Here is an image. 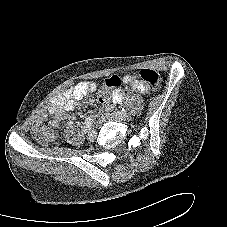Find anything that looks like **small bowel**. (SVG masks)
I'll return each instance as SVG.
<instances>
[{"instance_id": "obj_1", "label": "small bowel", "mask_w": 227, "mask_h": 227, "mask_svg": "<svg viewBox=\"0 0 227 227\" xmlns=\"http://www.w3.org/2000/svg\"><path fill=\"white\" fill-rule=\"evenodd\" d=\"M124 84L128 86L134 92L140 94H146L149 91L148 86L139 80L136 76L127 74L124 77ZM97 89V84L93 81H82L74 86L66 89L62 93L52 97L49 101L47 112L51 115L52 120L49 122V126L52 129H57L59 127L60 121L68 118V112H70L76 105V103L81 100L86 95L95 92ZM124 98L123 88H116L112 91L111 96H106L103 105H107L109 101L113 103H120ZM46 117L44 110L37 112L33 125L32 132L45 130L43 127V121ZM52 136L51 133H49Z\"/></svg>"}]
</instances>
